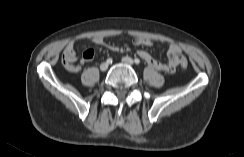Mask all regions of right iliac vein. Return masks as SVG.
Masks as SVG:
<instances>
[{
    "instance_id": "right-iliac-vein-1",
    "label": "right iliac vein",
    "mask_w": 244,
    "mask_h": 157,
    "mask_svg": "<svg viewBox=\"0 0 244 157\" xmlns=\"http://www.w3.org/2000/svg\"><path fill=\"white\" fill-rule=\"evenodd\" d=\"M108 63L107 62H103V63H101V65H100V70L101 71H106L107 69H108Z\"/></svg>"
}]
</instances>
